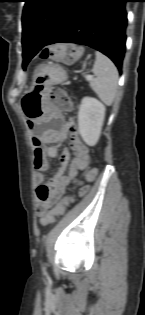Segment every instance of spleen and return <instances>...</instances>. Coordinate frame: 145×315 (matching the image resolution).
Listing matches in <instances>:
<instances>
[{"instance_id":"obj_1","label":"spleen","mask_w":145,"mask_h":315,"mask_svg":"<svg viewBox=\"0 0 145 315\" xmlns=\"http://www.w3.org/2000/svg\"><path fill=\"white\" fill-rule=\"evenodd\" d=\"M95 55L93 73L96 78L90 81V86L103 103L111 105L118 89V71L108 57L100 52Z\"/></svg>"}]
</instances>
